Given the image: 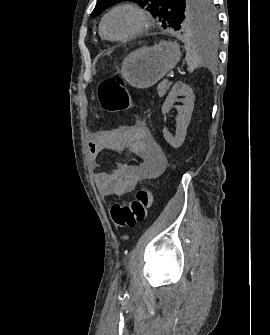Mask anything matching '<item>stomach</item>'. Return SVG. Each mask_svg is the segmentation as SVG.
Returning <instances> with one entry per match:
<instances>
[{
	"mask_svg": "<svg viewBox=\"0 0 270 335\" xmlns=\"http://www.w3.org/2000/svg\"><path fill=\"white\" fill-rule=\"evenodd\" d=\"M181 58L177 42L161 40L155 46H144L124 58L121 74L133 88H150L172 70Z\"/></svg>",
	"mask_w": 270,
	"mask_h": 335,
	"instance_id": "stomach-1",
	"label": "stomach"
}]
</instances>
